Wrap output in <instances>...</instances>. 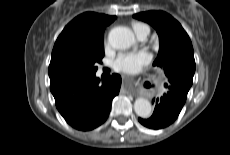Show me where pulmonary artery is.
<instances>
[{
	"label": "pulmonary artery",
	"mask_w": 230,
	"mask_h": 155,
	"mask_svg": "<svg viewBox=\"0 0 230 155\" xmlns=\"http://www.w3.org/2000/svg\"><path fill=\"white\" fill-rule=\"evenodd\" d=\"M148 34H149V31L145 30V31L141 32L140 34H138L137 36L140 40H144L148 36Z\"/></svg>",
	"instance_id": "1"
}]
</instances>
